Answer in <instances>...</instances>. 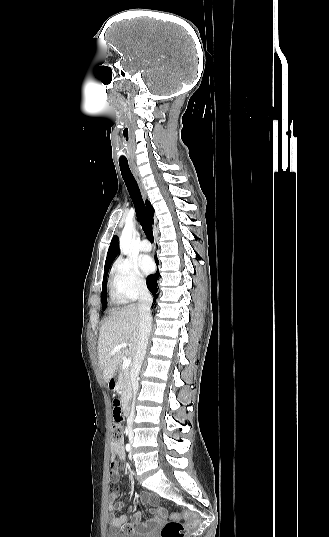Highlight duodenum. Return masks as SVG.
<instances>
[{"instance_id": "410a0bca", "label": "duodenum", "mask_w": 329, "mask_h": 537, "mask_svg": "<svg viewBox=\"0 0 329 537\" xmlns=\"http://www.w3.org/2000/svg\"><path fill=\"white\" fill-rule=\"evenodd\" d=\"M108 387L110 390L114 391L116 390V387H117V381L116 379L112 378L109 380L108 382ZM119 407L122 409V413L123 415H127L128 414V411H129V406H128V403L127 402H121L119 403Z\"/></svg>"}]
</instances>
